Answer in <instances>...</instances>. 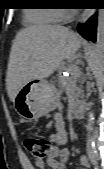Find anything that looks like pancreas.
<instances>
[{
  "mask_svg": "<svg viewBox=\"0 0 104 169\" xmlns=\"http://www.w3.org/2000/svg\"><path fill=\"white\" fill-rule=\"evenodd\" d=\"M64 69L69 71V67H65ZM78 75H79V72H78ZM78 75L74 76V81H76ZM64 79H65L64 77L60 76V80H64ZM74 97H75L76 102H78L79 98H82V91L80 89L76 88L75 93H74Z\"/></svg>",
  "mask_w": 104,
  "mask_h": 169,
  "instance_id": "pancreas-1",
  "label": "pancreas"
}]
</instances>
